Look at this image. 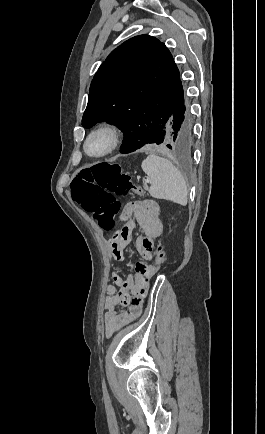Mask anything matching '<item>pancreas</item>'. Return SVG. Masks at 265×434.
Listing matches in <instances>:
<instances>
[{
    "instance_id": "pancreas-1",
    "label": "pancreas",
    "mask_w": 265,
    "mask_h": 434,
    "mask_svg": "<svg viewBox=\"0 0 265 434\" xmlns=\"http://www.w3.org/2000/svg\"><path fill=\"white\" fill-rule=\"evenodd\" d=\"M143 188H144V190H149L147 184H143Z\"/></svg>"
}]
</instances>
